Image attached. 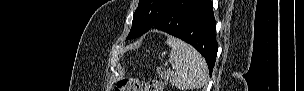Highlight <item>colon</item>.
Listing matches in <instances>:
<instances>
[{
    "label": "colon",
    "instance_id": "5ec220e1",
    "mask_svg": "<svg viewBox=\"0 0 304 91\" xmlns=\"http://www.w3.org/2000/svg\"><path fill=\"white\" fill-rule=\"evenodd\" d=\"M163 86L157 80H143L129 77L121 79L116 87V91H162Z\"/></svg>",
    "mask_w": 304,
    "mask_h": 91
}]
</instances>
